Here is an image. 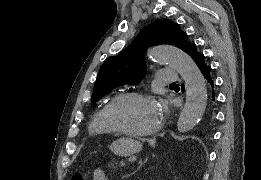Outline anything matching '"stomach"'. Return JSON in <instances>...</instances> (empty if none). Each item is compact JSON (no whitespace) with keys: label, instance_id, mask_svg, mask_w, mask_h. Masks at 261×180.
Masks as SVG:
<instances>
[{"label":"stomach","instance_id":"stomach-1","mask_svg":"<svg viewBox=\"0 0 261 180\" xmlns=\"http://www.w3.org/2000/svg\"><path fill=\"white\" fill-rule=\"evenodd\" d=\"M142 144L139 141L128 137L115 140L110 145V150L117 156L127 157L140 152Z\"/></svg>","mask_w":261,"mask_h":180}]
</instances>
